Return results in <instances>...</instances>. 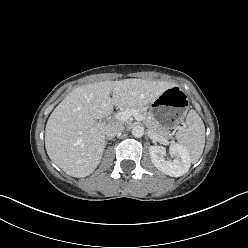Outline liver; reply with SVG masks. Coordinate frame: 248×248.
<instances>
[{
    "instance_id": "liver-1",
    "label": "liver",
    "mask_w": 248,
    "mask_h": 248,
    "mask_svg": "<svg viewBox=\"0 0 248 248\" xmlns=\"http://www.w3.org/2000/svg\"><path fill=\"white\" fill-rule=\"evenodd\" d=\"M173 86L171 82L131 78L73 89L47 121L45 147L49 158L72 177L90 175L105 148V124L95 120L110 115L113 106L132 109L148 105Z\"/></svg>"
}]
</instances>
